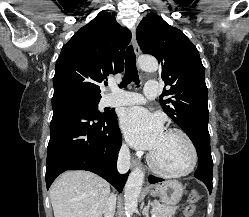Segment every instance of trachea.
Masks as SVG:
<instances>
[{
    "mask_svg": "<svg viewBox=\"0 0 249 217\" xmlns=\"http://www.w3.org/2000/svg\"><path fill=\"white\" fill-rule=\"evenodd\" d=\"M135 82L137 85L140 83L138 71L136 68V56L132 46H129L125 55V75L120 84V87L125 88L131 82Z\"/></svg>",
    "mask_w": 249,
    "mask_h": 217,
    "instance_id": "3493384b",
    "label": "trachea"
}]
</instances>
